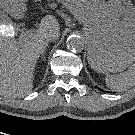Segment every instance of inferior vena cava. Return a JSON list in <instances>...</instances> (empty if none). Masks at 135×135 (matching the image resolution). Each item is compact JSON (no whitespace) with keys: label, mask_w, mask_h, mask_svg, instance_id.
I'll return each instance as SVG.
<instances>
[{"label":"inferior vena cava","mask_w":135,"mask_h":135,"mask_svg":"<svg viewBox=\"0 0 135 135\" xmlns=\"http://www.w3.org/2000/svg\"><path fill=\"white\" fill-rule=\"evenodd\" d=\"M55 39H56V36L54 34H48V35L45 36V42L46 43L54 41Z\"/></svg>","instance_id":"inferior-vena-cava-1"}]
</instances>
